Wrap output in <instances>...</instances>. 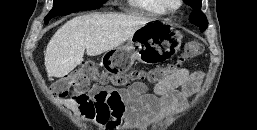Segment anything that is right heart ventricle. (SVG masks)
<instances>
[{"mask_svg":"<svg viewBox=\"0 0 257 130\" xmlns=\"http://www.w3.org/2000/svg\"><path fill=\"white\" fill-rule=\"evenodd\" d=\"M130 8L138 13L148 16H162L167 14L162 0H127Z\"/></svg>","mask_w":257,"mask_h":130,"instance_id":"1","label":"right heart ventricle"}]
</instances>
